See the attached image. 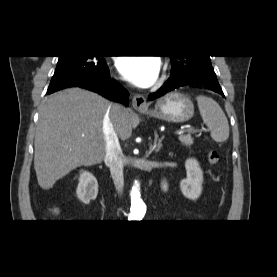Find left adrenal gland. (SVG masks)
<instances>
[{"label": "left adrenal gland", "instance_id": "left-adrenal-gland-1", "mask_svg": "<svg viewBox=\"0 0 277 277\" xmlns=\"http://www.w3.org/2000/svg\"><path fill=\"white\" fill-rule=\"evenodd\" d=\"M154 135H155V139H154V146H153V148L155 149L156 152H159L161 147L163 146L162 145L163 137L158 138V135H157L156 132L154 133Z\"/></svg>", "mask_w": 277, "mask_h": 277}]
</instances>
